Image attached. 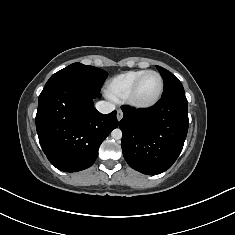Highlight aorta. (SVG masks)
Here are the masks:
<instances>
[{"label":"aorta","mask_w":235,"mask_h":235,"mask_svg":"<svg viewBox=\"0 0 235 235\" xmlns=\"http://www.w3.org/2000/svg\"><path fill=\"white\" fill-rule=\"evenodd\" d=\"M111 136L113 139L115 140H119L122 138V131L120 129H114L112 132H111Z\"/></svg>","instance_id":"aorta-1"}]
</instances>
